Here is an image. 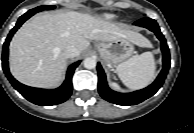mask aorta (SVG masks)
I'll return each instance as SVG.
<instances>
[{
  "label": "aorta",
  "instance_id": "obj_1",
  "mask_svg": "<svg viewBox=\"0 0 194 133\" xmlns=\"http://www.w3.org/2000/svg\"><path fill=\"white\" fill-rule=\"evenodd\" d=\"M84 67L87 69H93L96 67V59L94 57H88L83 61Z\"/></svg>",
  "mask_w": 194,
  "mask_h": 133
}]
</instances>
